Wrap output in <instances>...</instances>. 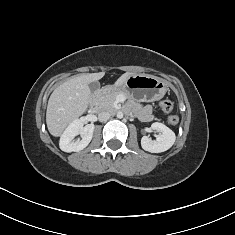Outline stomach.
Masks as SVG:
<instances>
[{"label":"stomach","instance_id":"0dacf381","mask_svg":"<svg viewBox=\"0 0 235 235\" xmlns=\"http://www.w3.org/2000/svg\"><path fill=\"white\" fill-rule=\"evenodd\" d=\"M111 88L123 92L132 101L152 102L165 95L167 83L152 75L136 74L129 76L122 86Z\"/></svg>","mask_w":235,"mask_h":235}]
</instances>
